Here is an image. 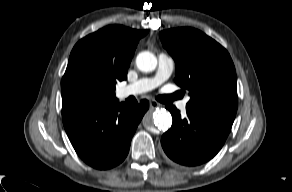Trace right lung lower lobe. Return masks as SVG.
Wrapping results in <instances>:
<instances>
[{
	"label": "right lung lower lobe",
	"instance_id": "98d812e1",
	"mask_svg": "<svg viewBox=\"0 0 292 192\" xmlns=\"http://www.w3.org/2000/svg\"><path fill=\"white\" fill-rule=\"evenodd\" d=\"M149 108L147 100L134 106H63L62 119L69 140L88 165L110 169L127 156L131 139Z\"/></svg>",
	"mask_w": 292,
	"mask_h": 192
}]
</instances>
